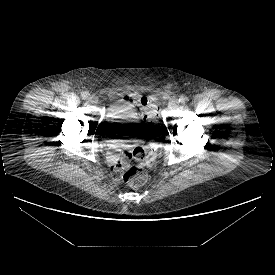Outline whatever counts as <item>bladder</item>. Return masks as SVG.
Instances as JSON below:
<instances>
[{"mask_svg": "<svg viewBox=\"0 0 275 275\" xmlns=\"http://www.w3.org/2000/svg\"><path fill=\"white\" fill-rule=\"evenodd\" d=\"M108 127L126 128L130 131L139 130L138 118L134 115L132 109H127L121 105H114L110 108L108 116L105 118ZM116 130H109V134L117 133Z\"/></svg>", "mask_w": 275, "mask_h": 275, "instance_id": "1", "label": "bladder"}]
</instances>
